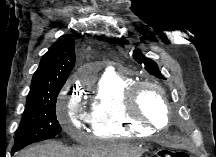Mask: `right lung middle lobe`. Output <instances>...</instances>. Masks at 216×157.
Wrapping results in <instances>:
<instances>
[{
    "label": "right lung middle lobe",
    "instance_id": "dd1d6c3e",
    "mask_svg": "<svg viewBox=\"0 0 216 157\" xmlns=\"http://www.w3.org/2000/svg\"><path fill=\"white\" fill-rule=\"evenodd\" d=\"M58 92L42 97L27 99L22 121L19 125L13 151L37 141L46 140L62 130L56 118Z\"/></svg>",
    "mask_w": 216,
    "mask_h": 157
}]
</instances>
